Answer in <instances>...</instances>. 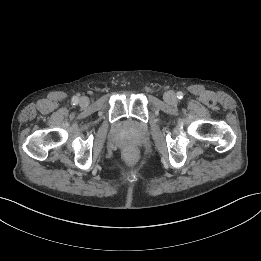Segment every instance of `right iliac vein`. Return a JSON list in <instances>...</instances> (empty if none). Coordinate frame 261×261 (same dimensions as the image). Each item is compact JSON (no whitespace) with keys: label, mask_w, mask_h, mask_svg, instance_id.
I'll return each mask as SVG.
<instances>
[{"label":"right iliac vein","mask_w":261,"mask_h":261,"mask_svg":"<svg viewBox=\"0 0 261 261\" xmlns=\"http://www.w3.org/2000/svg\"><path fill=\"white\" fill-rule=\"evenodd\" d=\"M79 103L81 106H87L89 103V99L87 97H81Z\"/></svg>","instance_id":"obj_1"}]
</instances>
